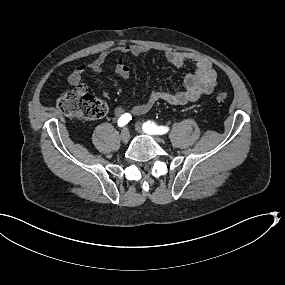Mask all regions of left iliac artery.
I'll return each mask as SVG.
<instances>
[{
	"label": "left iliac artery",
	"mask_w": 285,
	"mask_h": 285,
	"mask_svg": "<svg viewBox=\"0 0 285 285\" xmlns=\"http://www.w3.org/2000/svg\"><path fill=\"white\" fill-rule=\"evenodd\" d=\"M143 131L148 134H165L168 132V127L157 126L154 122H146L142 127Z\"/></svg>",
	"instance_id": "left-iliac-artery-1"
}]
</instances>
